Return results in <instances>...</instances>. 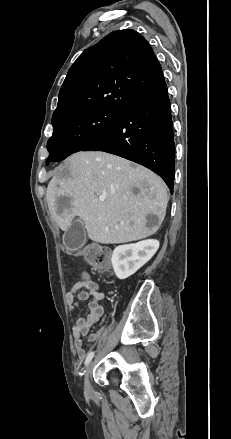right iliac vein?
Returning a JSON list of instances; mask_svg holds the SVG:
<instances>
[{
    "mask_svg": "<svg viewBox=\"0 0 231 439\" xmlns=\"http://www.w3.org/2000/svg\"><path fill=\"white\" fill-rule=\"evenodd\" d=\"M92 366H93V363H90V365L88 366V368L86 370L85 378H84L85 391L89 395H92L94 393L93 387H92L90 379H89L90 373L92 370Z\"/></svg>",
    "mask_w": 231,
    "mask_h": 439,
    "instance_id": "obj_1",
    "label": "right iliac vein"
}]
</instances>
